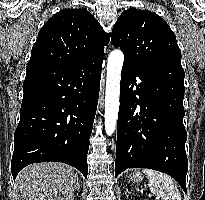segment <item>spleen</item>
Returning <instances> with one entry per match:
<instances>
[{
	"label": "spleen",
	"mask_w": 205,
	"mask_h": 200,
	"mask_svg": "<svg viewBox=\"0 0 205 200\" xmlns=\"http://www.w3.org/2000/svg\"><path fill=\"white\" fill-rule=\"evenodd\" d=\"M142 172L149 180L148 186L153 195L161 200H182L178 187L169 175L152 169H143Z\"/></svg>",
	"instance_id": "spleen-1"
}]
</instances>
